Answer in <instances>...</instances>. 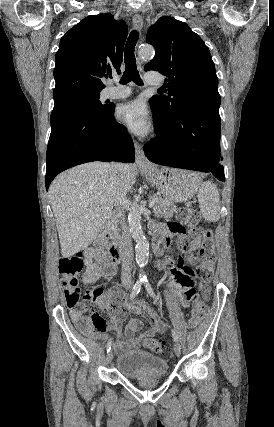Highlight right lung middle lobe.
Listing matches in <instances>:
<instances>
[{"mask_svg":"<svg viewBox=\"0 0 274 427\" xmlns=\"http://www.w3.org/2000/svg\"><path fill=\"white\" fill-rule=\"evenodd\" d=\"M99 97V93L69 96L60 103L54 105L53 111L51 113V121L57 117L81 109H89L96 112H103L108 110L111 106L102 105L99 101Z\"/></svg>","mask_w":274,"mask_h":427,"instance_id":"1","label":"right lung middle lobe"}]
</instances>
